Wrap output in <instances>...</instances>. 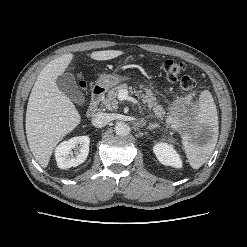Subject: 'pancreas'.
Here are the masks:
<instances>
[{
    "label": "pancreas",
    "instance_id": "1",
    "mask_svg": "<svg viewBox=\"0 0 247 247\" xmlns=\"http://www.w3.org/2000/svg\"><path fill=\"white\" fill-rule=\"evenodd\" d=\"M139 91L136 92L138 97L142 98L144 104L148 106L149 109H152L157 118H163L165 111L161 105L158 104L156 97L153 92L148 87L140 86ZM121 90H129L132 91V87L128 86V84H120L114 87L112 90L108 92L106 97H104L101 101V105L104 106L108 110H114L118 108V93ZM144 92V93H143Z\"/></svg>",
    "mask_w": 247,
    "mask_h": 247
}]
</instances>
